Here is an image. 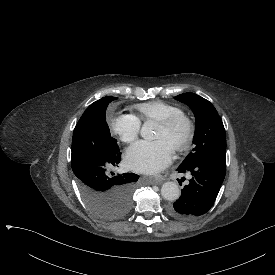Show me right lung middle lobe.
<instances>
[{
    "label": "right lung middle lobe",
    "mask_w": 275,
    "mask_h": 275,
    "mask_svg": "<svg viewBox=\"0 0 275 275\" xmlns=\"http://www.w3.org/2000/svg\"><path fill=\"white\" fill-rule=\"evenodd\" d=\"M116 97L92 103L78 121L72 139V170L87 206L97 216L116 220L127 215L139 176L120 162L117 140L111 137L105 111Z\"/></svg>",
    "instance_id": "obj_1"
}]
</instances>
